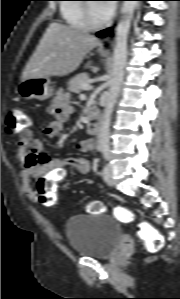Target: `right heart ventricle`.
Instances as JSON below:
<instances>
[{"label":"right heart ventricle","instance_id":"e07e8e85","mask_svg":"<svg viewBox=\"0 0 180 299\" xmlns=\"http://www.w3.org/2000/svg\"><path fill=\"white\" fill-rule=\"evenodd\" d=\"M67 3L61 5V14L64 21L71 27L76 29H87L88 26L85 21L84 5L77 2L81 0H65Z\"/></svg>","mask_w":180,"mask_h":299}]
</instances>
